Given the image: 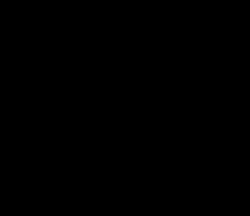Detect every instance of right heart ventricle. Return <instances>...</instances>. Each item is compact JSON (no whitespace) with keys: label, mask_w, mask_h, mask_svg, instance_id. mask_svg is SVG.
I'll return each instance as SVG.
<instances>
[{"label":"right heart ventricle","mask_w":250,"mask_h":216,"mask_svg":"<svg viewBox=\"0 0 250 216\" xmlns=\"http://www.w3.org/2000/svg\"><path fill=\"white\" fill-rule=\"evenodd\" d=\"M134 56L137 62L143 63L146 62L151 57V53L148 51H138L137 53H135Z\"/></svg>","instance_id":"e07e8e85"}]
</instances>
